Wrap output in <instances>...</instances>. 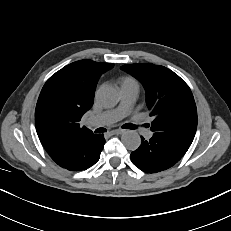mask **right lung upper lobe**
<instances>
[{
    "label": "right lung upper lobe",
    "instance_id": "right-lung-upper-lobe-1",
    "mask_svg": "<svg viewBox=\"0 0 231 231\" xmlns=\"http://www.w3.org/2000/svg\"><path fill=\"white\" fill-rule=\"evenodd\" d=\"M112 67L85 59L65 66L47 80L35 110L36 131L47 152L65 140L91 133L80 126V120L93 104L101 74Z\"/></svg>",
    "mask_w": 231,
    "mask_h": 231
}]
</instances>
